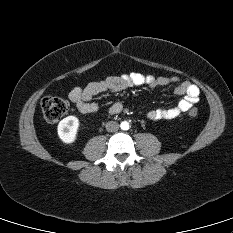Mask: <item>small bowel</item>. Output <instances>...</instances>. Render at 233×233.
<instances>
[{
	"label": "small bowel",
	"instance_id": "obj_1",
	"mask_svg": "<svg viewBox=\"0 0 233 233\" xmlns=\"http://www.w3.org/2000/svg\"><path fill=\"white\" fill-rule=\"evenodd\" d=\"M175 84L174 92L184 95L175 106L171 108H158L149 112L152 120H171L190 110L199 101V88L189 81H182L177 76L155 77L142 73H129L121 76L108 77L102 81L90 82L85 87H76L69 93L70 101L84 114L97 112L99 107L92 102V98L102 92H118L132 86L146 85L150 88ZM123 109L121 103H114L108 110L110 115H117Z\"/></svg>",
	"mask_w": 233,
	"mask_h": 233
}]
</instances>
